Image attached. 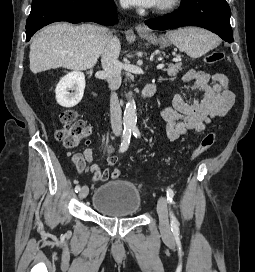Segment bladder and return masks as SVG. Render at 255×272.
I'll return each instance as SVG.
<instances>
[{
	"label": "bladder",
	"mask_w": 255,
	"mask_h": 272,
	"mask_svg": "<svg viewBox=\"0 0 255 272\" xmlns=\"http://www.w3.org/2000/svg\"><path fill=\"white\" fill-rule=\"evenodd\" d=\"M141 204L139 189L127 180L108 181L99 186L92 197L93 208L104 216H134L140 210Z\"/></svg>",
	"instance_id": "obj_1"
}]
</instances>
